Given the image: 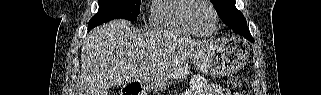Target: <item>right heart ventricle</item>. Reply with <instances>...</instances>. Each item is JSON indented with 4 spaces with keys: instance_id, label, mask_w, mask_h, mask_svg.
<instances>
[{
    "instance_id": "1",
    "label": "right heart ventricle",
    "mask_w": 321,
    "mask_h": 95,
    "mask_svg": "<svg viewBox=\"0 0 321 95\" xmlns=\"http://www.w3.org/2000/svg\"><path fill=\"white\" fill-rule=\"evenodd\" d=\"M189 0H153L149 24L152 29L182 35H198L186 21Z\"/></svg>"
}]
</instances>
